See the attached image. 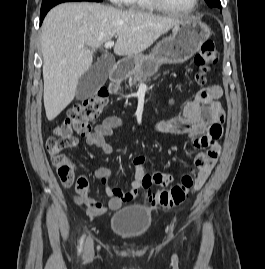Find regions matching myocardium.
Instances as JSON below:
<instances>
[{
  "instance_id": "obj_1",
  "label": "myocardium",
  "mask_w": 265,
  "mask_h": 269,
  "mask_svg": "<svg viewBox=\"0 0 265 269\" xmlns=\"http://www.w3.org/2000/svg\"><path fill=\"white\" fill-rule=\"evenodd\" d=\"M149 1L155 8L159 10L177 14H189L194 12L198 8L200 2V0H194L193 5L189 9H178L168 5L164 0H149Z\"/></svg>"
}]
</instances>
